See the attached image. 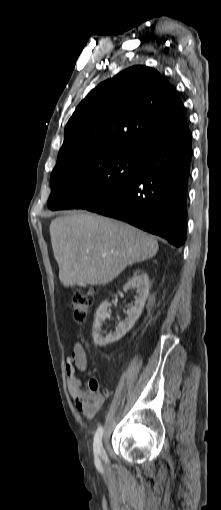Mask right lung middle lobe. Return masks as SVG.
Wrapping results in <instances>:
<instances>
[{
    "label": "right lung middle lobe",
    "instance_id": "obj_1",
    "mask_svg": "<svg viewBox=\"0 0 221 510\" xmlns=\"http://www.w3.org/2000/svg\"><path fill=\"white\" fill-rule=\"evenodd\" d=\"M146 149L111 148L81 153L57 163L52 171L51 210L85 208L117 192L138 172Z\"/></svg>",
    "mask_w": 221,
    "mask_h": 510
}]
</instances>
